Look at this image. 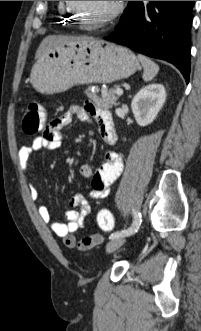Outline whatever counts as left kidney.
<instances>
[{"mask_svg":"<svg viewBox=\"0 0 201 331\" xmlns=\"http://www.w3.org/2000/svg\"><path fill=\"white\" fill-rule=\"evenodd\" d=\"M166 100V91L162 84H150L141 89L131 103L135 120L140 126L152 123Z\"/></svg>","mask_w":201,"mask_h":331,"instance_id":"5707ae66","label":"left kidney"}]
</instances>
